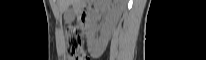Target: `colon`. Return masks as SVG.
I'll return each instance as SVG.
<instances>
[{
	"label": "colon",
	"mask_w": 206,
	"mask_h": 60,
	"mask_svg": "<svg viewBox=\"0 0 206 60\" xmlns=\"http://www.w3.org/2000/svg\"><path fill=\"white\" fill-rule=\"evenodd\" d=\"M66 47L69 60H89L83 48V39L74 27L68 32Z\"/></svg>",
	"instance_id": "colon-1"
}]
</instances>
